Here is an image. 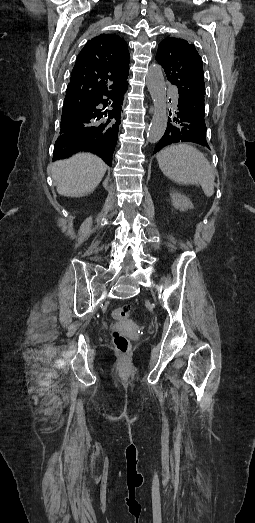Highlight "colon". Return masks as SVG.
<instances>
[{
	"mask_svg": "<svg viewBox=\"0 0 255 523\" xmlns=\"http://www.w3.org/2000/svg\"><path fill=\"white\" fill-rule=\"evenodd\" d=\"M113 316L118 320H128L132 313L129 306L116 308L113 311ZM112 340L116 351L121 355H126L130 351V342L128 338L119 330H114L112 333Z\"/></svg>",
	"mask_w": 255,
	"mask_h": 523,
	"instance_id": "1",
	"label": "colon"
}]
</instances>
